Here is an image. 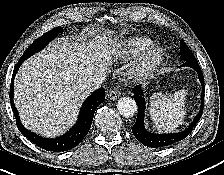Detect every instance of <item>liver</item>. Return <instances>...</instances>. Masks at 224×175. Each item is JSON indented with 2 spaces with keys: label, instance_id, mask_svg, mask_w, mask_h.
<instances>
[{
  "label": "liver",
  "instance_id": "liver-1",
  "mask_svg": "<svg viewBox=\"0 0 224 175\" xmlns=\"http://www.w3.org/2000/svg\"><path fill=\"white\" fill-rule=\"evenodd\" d=\"M116 45L105 33L90 42L66 38L27 59L14 80V103L22 124L46 137L63 134L88 95L83 85L94 75L105 76Z\"/></svg>",
  "mask_w": 224,
  "mask_h": 175
}]
</instances>
